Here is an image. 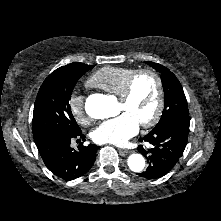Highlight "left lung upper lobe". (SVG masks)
<instances>
[{
	"instance_id": "obj_1",
	"label": "left lung upper lobe",
	"mask_w": 221,
	"mask_h": 221,
	"mask_svg": "<svg viewBox=\"0 0 221 221\" xmlns=\"http://www.w3.org/2000/svg\"><path fill=\"white\" fill-rule=\"evenodd\" d=\"M161 73L164 89V110L154 129L161 128L176 119L189 118L187 100L183 88L170 70L158 63L146 62Z\"/></svg>"
}]
</instances>
